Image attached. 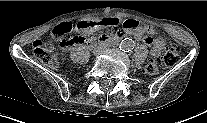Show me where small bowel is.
<instances>
[{"label":"small bowel","mask_w":207,"mask_h":123,"mask_svg":"<svg viewBox=\"0 0 207 123\" xmlns=\"http://www.w3.org/2000/svg\"><path fill=\"white\" fill-rule=\"evenodd\" d=\"M117 21L114 19H103L98 22H82L79 25V29L81 32L86 33L88 31H93L99 28H103L109 25L116 24ZM152 28L141 27V22L139 20L128 19L125 21L123 28L119 30L114 37L122 36L124 37L126 34H133L136 40H141L145 44L151 46V55L153 57H158L162 50L165 47V42L161 38H153L151 36H144V32L153 33ZM113 37H109L107 35H102L103 40H107Z\"/></svg>","instance_id":"obj_1"}]
</instances>
